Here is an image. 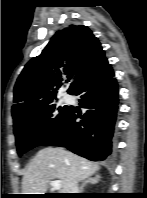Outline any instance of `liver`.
I'll use <instances>...</instances> for the list:
<instances>
[{
  "label": "liver",
  "instance_id": "6515ba94",
  "mask_svg": "<svg viewBox=\"0 0 147 198\" xmlns=\"http://www.w3.org/2000/svg\"><path fill=\"white\" fill-rule=\"evenodd\" d=\"M100 169L93 163L60 147L41 149L29 163L22 179V194H45L52 180L61 182L62 193H70L72 179L77 182Z\"/></svg>",
  "mask_w": 147,
  "mask_h": 198
}]
</instances>
